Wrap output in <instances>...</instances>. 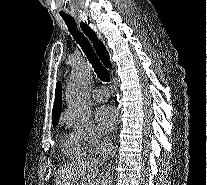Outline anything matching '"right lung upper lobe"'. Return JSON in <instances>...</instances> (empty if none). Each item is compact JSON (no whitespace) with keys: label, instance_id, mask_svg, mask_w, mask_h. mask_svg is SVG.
I'll return each instance as SVG.
<instances>
[{"label":"right lung upper lobe","instance_id":"1","mask_svg":"<svg viewBox=\"0 0 207 185\" xmlns=\"http://www.w3.org/2000/svg\"><path fill=\"white\" fill-rule=\"evenodd\" d=\"M61 107H62V86L61 83L58 81L56 84L55 102H54L53 114H52L53 126H56L58 124L60 113H61Z\"/></svg>","mask_w":207,"mask_h":185}]
</instances>
